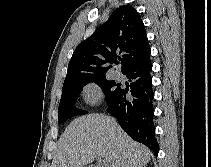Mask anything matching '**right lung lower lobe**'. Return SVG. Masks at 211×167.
I'll return each instance as SVG.
<instances>
[{
  "instance_id": "right-lung-lower-lobe-1",
  "label": "right lung lower lobe",
  "mask_w": 211,
  "mask_h": 167,
  "mask_svg": "<svg viewBox=\"0 0 211 167\" xmlns=\"http://www.w3.org/2000/svg\"><path fill=\"white\" fill-rule=\"evenodd\" d=\"M151 69L150 56L130 66L123 73L129 81H133L130 90L120 89L108 103L107 112L117 119L121 128L132 139L146 145L157 155L159 148L153 123L154 92ZM128 92L131 93L132 99L126 97Z\"/></svg>"
}]
</instances>
